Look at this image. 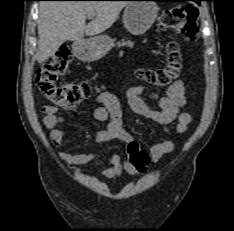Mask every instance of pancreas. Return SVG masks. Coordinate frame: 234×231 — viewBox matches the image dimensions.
<instances>
[{"label":"pancreas","instance_id":"1","mask_svg":"<svg viewBox=\"0 0 234 231\" xmlns=\"http://www.w3.org/2000/svg\"><path fill=\"white\" fill-rule=\"evenodd\" d=\"M133 45H134V43L133 42H131V41H124V40H122L121 42H118L117 43V46L118 47H121V46H128V47H133Z\"/></svg>","mask_w":234,"mask_h":231}]
</instances>
